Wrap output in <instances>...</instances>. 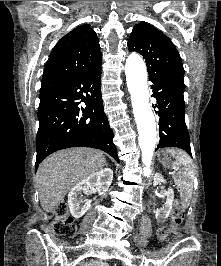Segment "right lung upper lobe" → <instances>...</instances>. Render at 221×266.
Instances as JSON below:
<instances>
[{
  "instance_id": "1",
  "label": "right lung upper lobe",
  "mask_w": 221,
  "mask_h": 266,
  "mask_svg": "<svg viewBox=\"0 0 221 266\" xmlns=\"http://www.w3.org/2000/svg\"><path fill=\"white\" fill-rule=\"evenodd\" d=\"M102 63L95 31L89 24L76 27L53 48L44 69L41 87H55Z\"/></svg>"
}]
</instances>
